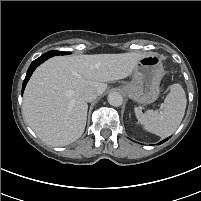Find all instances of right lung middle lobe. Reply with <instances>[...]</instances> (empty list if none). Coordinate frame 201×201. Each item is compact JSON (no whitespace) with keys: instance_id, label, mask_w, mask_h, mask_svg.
<instances>
[{"instance_id":"obj_1","label":"right lung middle lobe","mask_w":201,"mask_h":201,"mask_svg":"<svg viewBox=\"0 0 201 201\" xmlns=\"http://www.w3.org/2000/svg\"><path fill=\"white\" fill-rule=\"evenodd\" d=\"M47 54H51V56H55V55H67V54H70V52L49 51V52H47Z\"/></svg>"}]
</instances>
